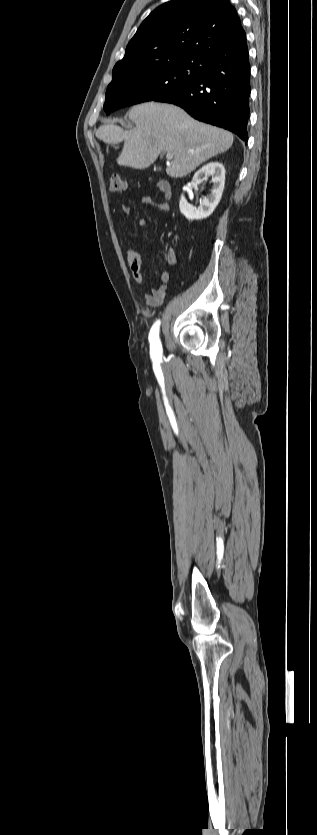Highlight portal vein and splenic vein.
Listing matches in <instances>:
<instances>
[{"instance_id":"portal-vein-and-splenic-vein-1","label":"portal vein and splenic vein","mask_w":317,"mask_h":835,"mask_svg":"<svg viewBox=\"0 0 317 835\" xmlns=\"http://www.w3.org/2000/svg\"><path fill=\"white\" fill-rule=\"evenodd\" d=\"M167 158H172V155H171V154H167Z\"/></svg>"}]
</instances>
